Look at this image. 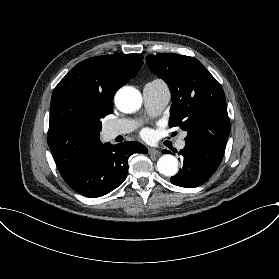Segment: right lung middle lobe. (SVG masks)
<instances>
[{
  "label": "right lung middle lobe",
  "instance_id": "right-lung-middle-lobe-1",
  "mask_svg": "<svg viewBox=\"0 0 279 279\" xmlns=\"http://www.w3.org/2000/svg\"><path fill=\"white\" fill-rule=\"evenodd\" d=\"M112 112H113V108H111L106 114H104V116H105V115H108V114H111ZM104 116H103V117H104Z\"/></svg>",
  "mask_w": 279,
  "mask_h": 279
}]
</instances>
